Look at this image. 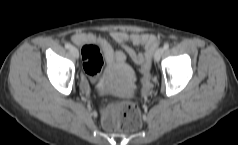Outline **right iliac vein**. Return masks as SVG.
Returning a JSON list of instances; mask_svg holds the SVG:
<instances>
[{"instance_id": "obj_1", "label": "right iliac vein", "mask_w": 238, "mask_h": 145, "mask_svg": "<svg viewBox=\"0 0 238 145\" xmlns=\"http://www.w3.org/2000/svg\"><path fill=\"white\" fill-rule=\"evenodd\" d=\"M70 52H71V54L73 55L74 58L78 59L79 51H78V49L76 47L71 46L70 47Z\"/></svg>"}]
</instances>
